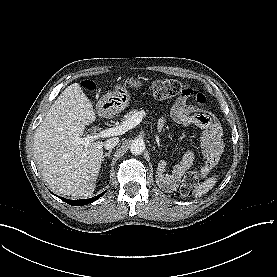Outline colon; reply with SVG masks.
<instances>
[{"mask_svg":"<svg viewBox=\"0 0 277 277\" xmlns=\"http://www.w3.org/2000/svg\"><path fill=\"white\" fill-rule=\"evenodd\" d=\"M152 92L156 99L164 100L179 95L190 96L201 107H206V98L203 93L193 89L187 84H184L174 79H159L152 83ZM214 158H209L205 166L208 168L213 167ZM198 178L194 173H188L181 185L180 192L185 197H190L197 185Z\"/></svg>","mask_w":277,"mask_h":277,"instance_id":"1","label":"colon"}]
</instances>
